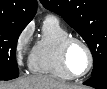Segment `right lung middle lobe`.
<instances>
[{
  "label": "right lung middle lobe",
  "mask_w": 107,
  "mask_h": 89,
  "mask_svg": "<svg viewBox=\"0 0 107 89\" xmlns=\"http://www.w3.org/2000/svg\"><path fill=\"white\" fill-rule=\"evenodd\" d=\"M26 25L0 20V80H11L19 76L16 44Z\"/></svg>",
  "instance_id": "dd1d6c3e"
}]
</instances>
